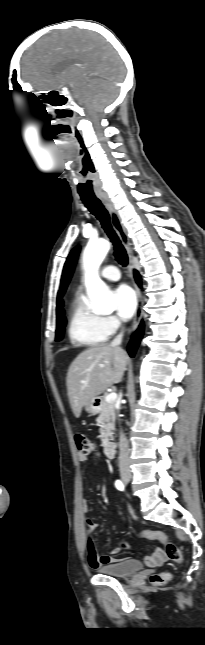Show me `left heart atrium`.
Segmentation results:
<instances>
[{"label":"left heart atrium","mask_w":205,"mask_h":645,"mask_svg":"<svg viewBox=\"0 0 205 645\" xmlns=\"http://www.w3.org/2000/svg\"><path fill=\"white\" fill-rule=\"evenodd\" d=\"M116 301L117 313L123 320L130 319L137 308V297L127 285H120L113 292Z\"/></svg>","instance_id":"obj_1"}]
</instances>
